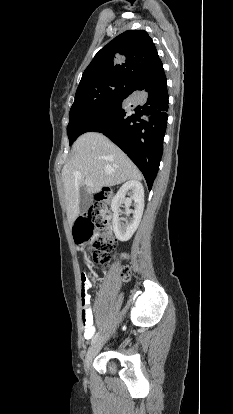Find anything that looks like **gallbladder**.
Listing matches in <instances>:
<instances>
[{"instance_id": "gallbladder-1", "label": "gallbladder", "mask_w": 233, "mask_h": 414, "mask_svg": "<svg viewBox=\"0 0 233 414\" xmlns=\"http://www.w3.org/2000/svg\"><path fill=\"white\" fill-rule=\"evenodd\" d=\"M92 203L91 194L86 190L85 187L80 188V202H79V211L80 213H85Z\"/></svg>"}]
</instances>
